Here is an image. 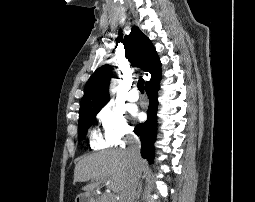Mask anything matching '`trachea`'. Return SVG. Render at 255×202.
I'll list each match as a JSON object with an SVG mask.
<instances>
[{
	"label": "trachea",
	"instance_id": "1",
	"mask_svg": "<svg viewBox=\"0 0 255 202\" xmlns=\"http://www.w3.org/2000/svg\"><path fill=\"white\" fill-rule=\"evenodd\" d=\"M137 87L141 93H144V79L140 78L138 80Z\"/></svg>",
	"mask_w": 255,
	"mask_h": 202
}]
</instances>
